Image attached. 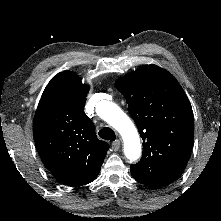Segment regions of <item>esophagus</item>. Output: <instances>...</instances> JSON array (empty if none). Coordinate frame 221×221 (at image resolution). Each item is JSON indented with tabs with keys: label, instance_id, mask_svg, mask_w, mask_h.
<instances>
[{
	"label": "esophagus",
	"instance_id": "1",
	"mask_svg": "<svg viewBox=\"0 0 221 221\" xmlns=\"http://www.w3.org/2000/svg\"><path fill=\"white\" fill-rule=\"evenodd\" d=\"M120 144H121L120 140H115V141L112 143V146H111L112 150H113V151H118L119 148H120Z\"/></svg>",
	"mask_w": 221,
	"mask_h": 221
}]
</instances>
